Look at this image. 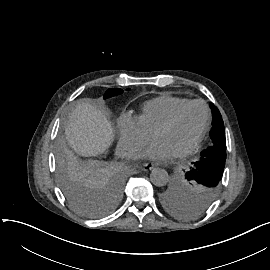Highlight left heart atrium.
<instances>
[{"mask_svg":"<svg viewBox=\"0 0 270 270\" xmlns=\"http://www.w3.org/2000/svg\"><path fill=\"white\" fill-rule=\"evenodd\" d=\"M176 157V153L165 142L154 140L145 150L141 158L154 163H168Z\"/></svg>","mask_w":270,"mask_h":270,"instance_id":"left-heart-atrium-1","label":"left heart atrium"}]
</instances>
